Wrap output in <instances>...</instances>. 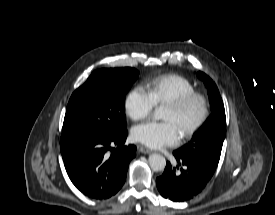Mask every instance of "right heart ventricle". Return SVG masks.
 <instances>
[{
	"mask_svg": "<svg viewBox=\"0 0 275 215\" xmlns=\"http://www.w3.org/2000/svg\"><path fill=\"white\" fill-rule=\"evenodd\" d=\"M146 89L157 106L165 105L184 94L195 91L193 84L178 74L157 76L147 82Z\"/></svg>",
	"mask_w": 275,
	"mask_h": 215,
	"instance_id": "right-heart-ventricle-1",
	"label": "right heart ventricle"
}]
</instances>
